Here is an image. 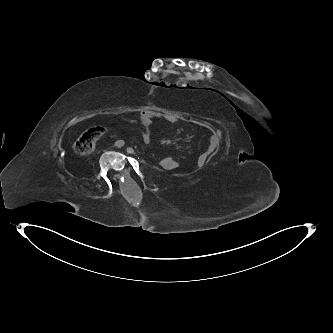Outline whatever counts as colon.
<instances>
[{"mask_svg": "<svg viewBox=\"0 0 333 333\" xmlns=\"http://www.w3.org/2000/svg\"><path fill=\"white\" fill-rule=\"evenodd\" d=\"M105 128L95 126L89 128L84 133H82L73 145V150L76 154L81 156H87L91 154L95 148L96 142L98 139L104 135ZM173 161V158L170 155H167L165 158H162L159 161V164L162 167H165L167 164H170Z\"/></svg>", "mask_w": 333, "mask_h": 333, "instance_id": "obj_1", "label": "colon"}]
</instances>
